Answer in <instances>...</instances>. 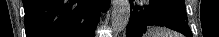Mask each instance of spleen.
I'll use <instances>...</instances> for the list:
<instances>
[{
	"instance_id": "obj_1",
	"label": "spleen",
	"mask_w": 219,
	"mask_h": 37,
	"mask_svg": "<svg viewBox=\"0 0 219 37\" xmlns=\"http://www.w3.org/2000/svg\"><path fill=\"white\" fill-rule=\"evenodd\" d=\"M150 35V37H181L179 34L160 28H152Z\"/></svg>"
}]
</instances>
